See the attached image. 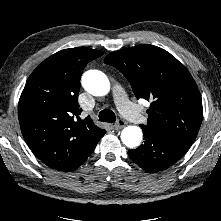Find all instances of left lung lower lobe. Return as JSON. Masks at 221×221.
<instances>
[{"instance_id":"1","label":"left lung lower lobe","mask_w":221,"mask_h":221,"mask_svg":"<svg viewBox=\"0 0 221 221\" xmlns=\"http://www.w3.org/2000/svg\"><path fill=\"white\" fill-rule=\"evenodd\" d=\"M144 143L129 150V157L143 170L158 172L175 164L188 147L176 141L143 130Z\"/></svg>"}]
</instances>
